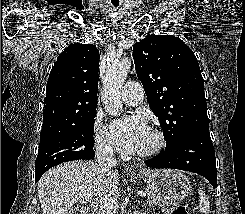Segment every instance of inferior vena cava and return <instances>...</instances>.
Segmentation results:
<instances>
[{"mask_svg": "<svg viewBox=\"0 0 245 214\" xmlns=\"http://www.w3.org/2000/svg\"><path fill=\"white\" fill-rule=\"evenodd\" d=\"M97 163L101 167L111 168L117 164L113 158V149L104 141H97L96 143Z\"/></svg>", "mask_w": 245, "mask_h": 214, "instance_id": "1", "label": "inferior vena cava"}]
</instances>
